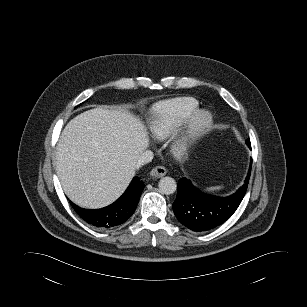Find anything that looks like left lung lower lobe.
<instances>
[{
	"label": "left lung lower lobe",
	"instance_id": "obj_1",
	"mask_svg": "<svg viewBox=\"0 0 307 307\" xmlns=\"http://www.w3.org/2000/svg\"><path fill=\"white\" fill-rule=\"evenodd\" d=\"M247 145L251 148V144ZM251 167L252 160L245 184L227 197L204 194L189 180L181 178L177 185V197L173 203L177 219L195 232L208 231L223 224L234 214L245 196Z\"/></svg>",
	"mask_w": 307,
	"mask_h": 307
}]
</instances>
